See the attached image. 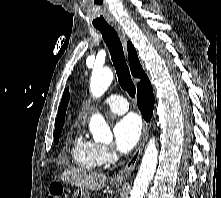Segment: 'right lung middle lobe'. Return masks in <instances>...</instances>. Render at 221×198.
<instances>
[{"label": "right lung middle lobe", "instance_id": "right-lung-middle-lobe-1", "mask_svg": "<svg viewBox=\"0 0 221 198\" xmlns=\"http://www.w3.org/2000/svg\"><path fill=\"white\" fill-rule=\"evenodd\" d=\"M61 131L62 130L55 132V135H54L55 143H58Z\"/></svg>", "mask_w": 221, "mask_h": 198}]
</instances>
